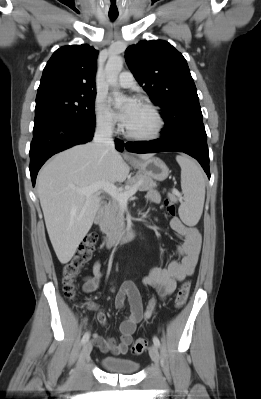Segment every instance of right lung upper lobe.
Masks as SVG:
<instances>
[{"mask_svg":"<svg viewBox=\"0 0 261 399\" xmlns=\"http://www.w3.org/2000/svg\"><path fill=\"white\" fill-rule=\"evenodd\" d=\"M97 55L98 51L87 44L63 46L56 50L43 70L37 97L95 95Z\"/></svg>","mask_w":261,"mask_h":399,"instance_id":"1","label":"right lung upper lobe"}]
</instances>
